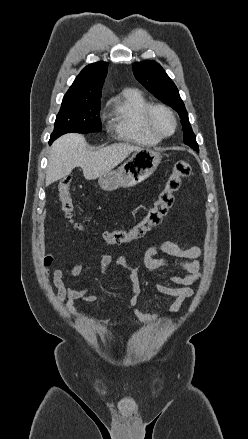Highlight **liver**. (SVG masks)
<instances>
[{"mask_svg":"<svg viewBox=\"0 0 248 439\" xmlns=\"http://www.w3.org/2000/svg\"><path fill=\"white\" fill-rule=\"evenodd\" d=\"M141 149L127 143H117L97 151L87 149L85 138L70 133L58 138L51 146L46 170V186L81 167L87 180L96 179L114 169L132 152Z\"/></svg>","mask_w":248,"mask_h":439,"instance_id":"obj_1","label":"liver"}]
</instances>
